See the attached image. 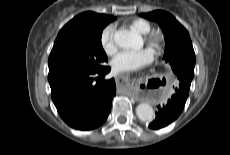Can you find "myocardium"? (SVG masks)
<instances>
[{"label":"myocardium","mask_w":230,"mask_h":155,"mask_svg":"<svg viewBox=\"0 0 230 155\" xmlns=\"http://www.w3.org/2000/svg\"><path fill=\"white\" fill-rule=\"evenodd\" d=\"M144 40L156 53H159L165 44L164 35L154 30L144 34Z\"/></svg>","instance_id":"obj_1"}]
</instances>
